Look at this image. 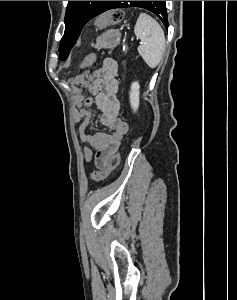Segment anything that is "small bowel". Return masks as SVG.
<instances>
[{
	"label": "small bowel",
	"mask_w": 237,
	"mask_h": 300,
	"mask_svg": "<svg viewBox=\"0 0 237 300\" xmlns=\"http://www.w3.org/2000/svg\"><path fill=\"white\" fill-rule=\"evenodd\" d=\"M118 64L113 59H105L100 69L86 72L78 76L77 86L87 88L94 99L85 97L76 98L75 103L79 108L75 113V121H80L79 135L85 145H90L94 151V163L102 169L108 163L111 155L117 152L122 138L127 134L129 126L119 118L120 103L117 99L119 83L116 79ZM96 104L101 111L100 122L109 128L111 133H86V127L92 115V104ZM92 151L85 147L84 160H92Z\"/></svg>",
	"instance_id": "c3829d8e"
}]
</instances>
